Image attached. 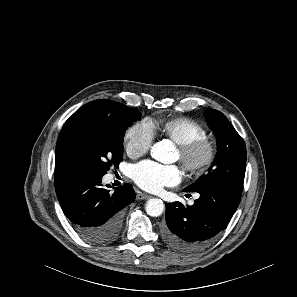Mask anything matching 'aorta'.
Instances as JSON below:
<instances>
[{"instance_id":"1","label":"aorta","mask_w":297,"mask_h":297,"mask_svg":"<svg viewBox=\"0 0 297 297\" xmlns=\"http://www.w3.org/2000/svg\"><path fill=\"white\" fill-rule=\"evenodd\" d=\"M169 148L164 142H158L152 146L151 156L162 163L167 162ZM146 213L152 217H158L163 213L164 204L161 199L153 198L148 200L145 206Z\"/></svg>"}]
</instances>
